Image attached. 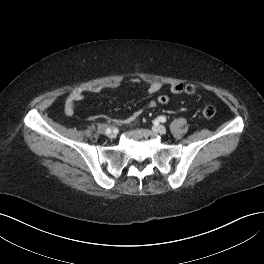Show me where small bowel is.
<instances>
[{"label":"small bowel","instance_id":"small-bowel-1","mask_svg":"<svg viewBox=\"0 0 264 264\" xmlns=\"http://www.w3.org/2000/svg\"><path fill=\"white\" fill-rule=\"evenodd\" d=\"M138 82H139V79L137 78H134L131 80V83H138ZM119 85H120L119 81H111L109 83H106L104 85H99V86L74 88L73 90H71V92L69 93L66 99L65 108H64L65 115L68 117L73 116L76 104L84 99L85 93L87 92L98 93L102 91L103 89L117 88ZM161 89H162V83L158 81H153L147 85L146 91L148 94H155V93H158ZM171 92L174 94H180L184 92V85L183 84H173L171 86ZM155 106H156V102L150 101L145 106V108L140 109L137 112H135L131 120L139 116L145 109H150Z\"/></svg>","mask_w":264,"mask_h":264}]
</instances>
